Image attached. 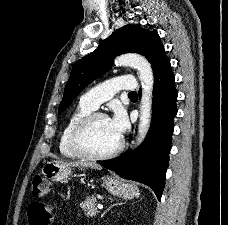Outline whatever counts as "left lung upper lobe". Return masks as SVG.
Here are the masks:
<instances>
[{
  "mask_svg": "<svg viewBox=\"0 0 228 225\" xmlns=\"http://www.w3.org/2000/svg\"><path fill=\"white\" fill-rule=\"evenodd\" d=\"M128 52L145 56L153 71L166 57L157 31L144 29L140 24L123 26L74 64L58 112L64 111L89 83L109 71L117 55Z\"/></svg>",
  "mask_w": 228,
  "mask_h": 225,
  "instance_id": "left-lung-upper-lobe-1",
  "label": "left lung upper lobe"
}]
</instances>
